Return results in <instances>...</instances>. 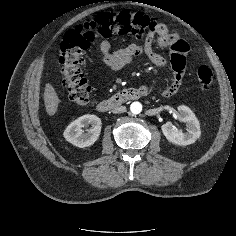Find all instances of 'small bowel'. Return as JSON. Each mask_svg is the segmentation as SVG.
<instances>
[{
	"mask_svg": "<svg viewBox=\"0 0 236 236\" xmlns=\"http://www.w3.org/2000/svg\"><path fill=\"white\" fill-rule=\"evenodd\" d=\"M155 44L160 48L169 47L171 49L173 77L163 88V94L165 96H172L178 91L183 79L185 60L189 51V46L185 40L173 36L170 40L163 41L153 32H149L144 41L140 44L131 43L119 49L112 50L110 41L102 40L99 44V49L105 66L112 72L120 71L134 58L142 55L153 65L164 67L167 64V60L155 50ZM142 88L148 92L146 86H143Z\"/></svg>",
	"mask_w": 236,
	"mask_h": 236,
	"instance_id": "obj_1",
	"label": "small bowel"
}]
</instances>
